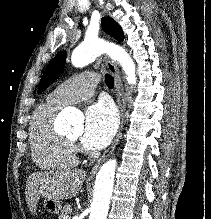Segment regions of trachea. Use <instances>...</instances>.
<instances>
[{
    "label": "trachea",
    "mask_w": 211,
    "mask_h": 219,
    "mask_svg": "<svg viewBox=\"0 0 211 219\" xmlns=\"http://www.w3.org/2000/svg\"><path fill=\"white\" fill-rule=\"evenodd\" d=\"M105 83L108 88L112 89L114 86V78L110 74H105Z\"/></svg>",
    "instance_id": "1"
}]
</instances>
